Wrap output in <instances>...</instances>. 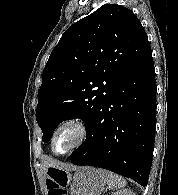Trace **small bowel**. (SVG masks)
Returning <instances> with one entry per match:
<instances>
[{
	"instance_id": "small-bowel-1",
	"label": "small bowel",
	"mask_w": 178,
	"mask_h": 195,
	"mask_svg": "<svg viewBox=\"0 0 178 195\" xmlns=\"http://www.w3.org/2000/svg\"><path fill=\"white\" fill-rule=\"evenodd\" d=\"M48 188H49V195H63L59 190L54 189L51 186H48Z\"/></svg>"
}]
</instances>
